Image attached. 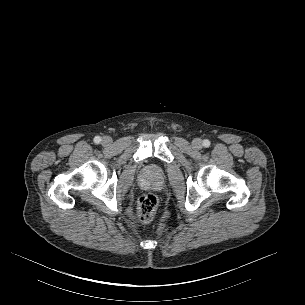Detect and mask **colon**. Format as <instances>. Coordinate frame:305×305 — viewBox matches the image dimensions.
<instances>
[{
    "instance_id": "colon-1",
    "label": "colon",
    "mask_w": 305,
    "mask_h": 305,
    "mask_svg": "<svg viewBox=\"0 0 305 305\" xmlns=\"http://www.w3.org/2000/svg\"><path fill=\"white\" fill-rule=\"evenodd\" d=\"M158 206V198L154 193L143 195L137 205V218L142 223L150 222L156 212Z\"/></svg>"
}]
</instances>
